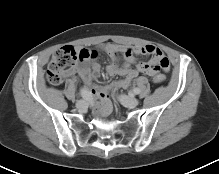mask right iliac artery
I'll list each match as a JSON object with an SVG mask.
<instances>
[{
	"instance_id": "1",
	"label": "right iliac artery",
	"mask_w": 219,
	"mask_h": 174,
	"mask_svg": "<svg viewBox=\"0 0 219 174\" xmlns=\"http://www.w3.org/2000/svg\"><path fill=\"white\" fill-rule=\"evenodd\" d=\"M81 96L85 99V100H89L91 98V94L90 92L86 89V88H82L80 90Z\"/></svg>"
}]
</instances>
